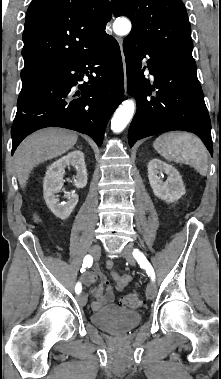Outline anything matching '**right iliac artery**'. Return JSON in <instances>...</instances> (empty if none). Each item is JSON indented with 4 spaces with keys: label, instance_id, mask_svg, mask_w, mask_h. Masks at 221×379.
<instances>
[{
    "label": "right iliac artery",
    "instance_id": "1",
    "mask_svg": "<svg viewBox=\"0 0 221 379\" xmlns=\"http://www.w3.org/2000/svg\"><path fill=\"white\" fill-rule=\"evenodd\" d=\"M93 263V257L91 255H86L83 260V267H82V272L84 271L85 268H90ZM82 290L81 283L78 282L75 286V292L79 294Z\"/></svg>",
    "mask_w": 221,
    "mask_h": 379
}]
</instances>
